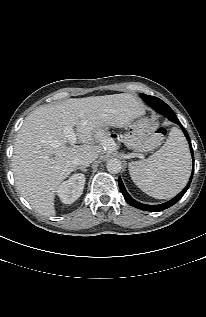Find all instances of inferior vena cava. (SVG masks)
<instances>
[{"label": "inferior vena cava", "instance_id": "obj_1", "mask_svg": "<svg viewBox=\"0 0 206 317\" xmlns=\"http://www.w3.org/2000/svg\"><path fill=\"white\" fill-rule=\"evenodd\" d=\"M97 156L98 155L96 153H84L75 159V164L81 166L89 165L97 158Z\"/></svg>", "mask_w": 206, "mask_h": 317}]
</instances>
